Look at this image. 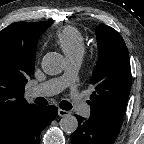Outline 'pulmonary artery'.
I'll return each instance as SVG.
<instances>
[{
	"instance_id": "obj_1",
	"label": "pulmonary artery",
	"mask_w": 144,
	"mask_h": 144,
	"mask_svg": "<svg viewBox=\"0 0 144 144\" xmlns=\"http://www.w3.org/2000/svg\"><path fill=\"white\" fill-rule=\"evenodd\" d=\"M81 63V56H73L67 58V66L65 73L61 77L52 78L46 82H43L34 88L31 89L30 95L32 97L37 96H52L61 92L66 88L74 75L77 73ZM71 97L73 100V106L78 114L81 116H88L90 113L89 106L81 99V97L75 92L72 91Z\"/></svg>"
}]
</instances>
